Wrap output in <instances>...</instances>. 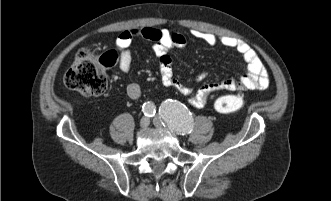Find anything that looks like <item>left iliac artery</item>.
I'll list each match as a JSON object with an SVG mask.
<instances>
[{
	"label": "left iliac artery",
	"instance_id": "obj_1",
	"mask_svg": "<svg viewBox=\"0 0 331 201\" xmlns=\"http://www.w3.org/2000/svg\"><path fill=\"white\" fill-rule=\"evenodd\" d=\"M159 112L164 124L178 134L186 135L192 131L193 118L184 104L168 99L162 103Z\"/></svg>",
	"mask_w": 331,
	"mask_h": 201
}]
</instances>
